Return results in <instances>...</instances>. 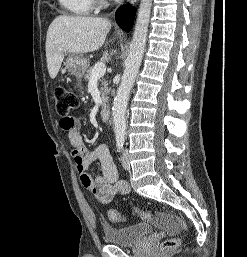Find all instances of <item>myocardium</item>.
Returning <instances> with one entry per match:
<instances>
[{"mask_svg": "<svg viewBox=\"0 0 247 257\" xmlns=\"http://www.w3.org/2000/svg\"><path fill=\"white\" fill-rule=\"evenodd\" d=\"M96 1H98V3H99L100 5H104V4H105V0H96Z\"/></svg>", "mask_w": 247, "mask_h": 257, "instance_id": "1", "label": "myocardium"}]
</instances>
